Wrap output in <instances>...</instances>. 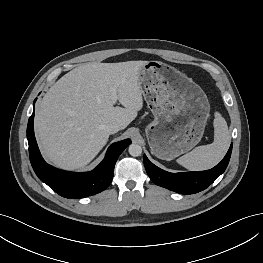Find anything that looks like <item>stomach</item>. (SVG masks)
<instances>
[{"label":"stomach","mask_w":263,"mask_h":263,"mask_svg":"<svg viewBox=\"0 0 263 263\" xmlns=\"http://www.w3.org/2000/svg\"><path fill=\"white\" fill-rule=\"evenodd\" d=\"M142 94L154 115L145 133L151 152L172 160L201 140L210 112L205 92L175 67L147 61L139 71Z\"/></svg>","instance_id":"1"}]
</instances>
